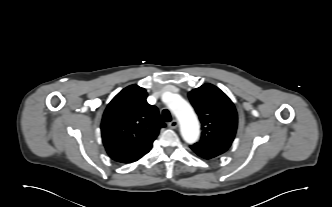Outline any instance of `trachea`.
Wrapping results in <instances>:
<instances>
[{"mask_svg":"<svg viewBox=\"0 0 332 207\" xmlns=\"http://www.w3.org/2000/svg\"><path fill=\"white\" fill-rule=\"evenodd\" d=\"M162 116H163L164 121H166V122H170L172 120L171 114L167 109H164L162 111Z\"/></svg>","mask_w":332,"mask_h":207,"instance_id":"obj_1","label":"trachea"}]
</instances>
